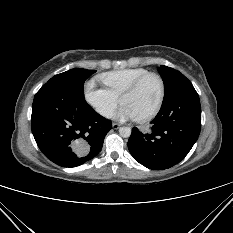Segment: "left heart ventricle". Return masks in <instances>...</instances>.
Returning a JSON list of instances; mask_svg holds the SVG:
<instances>
[{
  "label": "left heart ventricle",
  "mask_w": 233,
  "mask_h": 233,
  "mask_svg": "<svg viewBox=\"0 0 233 233\" xmlns=\"http://www.w3.org/2000/svg\"><path fill=\"white\" fill-rule=\"evenodd\" d=\"M161 86L155 77H150L143 82L134 93L123 97L122 104L129 106L137 118L149 114L157 105L160 98Z\"/></svg>",
  "instance_id": "1"
}]
</instances>
